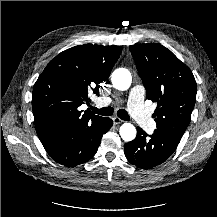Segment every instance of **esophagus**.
<instances>
[{
	"label": "esophagus",
	"mask_w": 217,
	"mask_h": 217,
	"mask_svg": "<svg viewBox=\"0 0 217 217\" xmlns=\"http://www.w3.org/2000/svg\"><path fill=\"white\" fill-rule=\"evenodd\" d=\"M113 123L115 125L123 123V120L118 117H113Z\"/></svg>",
	"instance_id": "obj_1"
}]
</instances>
